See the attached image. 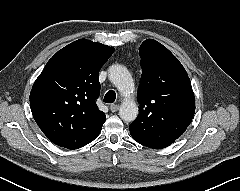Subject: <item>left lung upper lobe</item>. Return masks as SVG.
<instances>
[{"instance_id":"left-lung-upper-lobe-1","label":"left lung upper lobe","mask_w":240,"mask_h":191,"mask_svg":"<svg viewBox=\"0 0 240 191\" xmlns=\"http://www.w3.org/2000/svg\"><path fill=\"white\" fill-rule=\"evenodd\" d=\"M139 54L143 70L137 92L140 112L130 131L137 139L164 148L192 121L194 93L186 70L165 46L147 39Z\"/></svg>"}]
</instances>
